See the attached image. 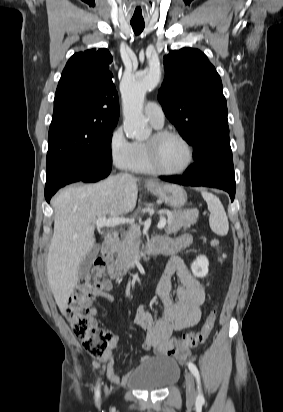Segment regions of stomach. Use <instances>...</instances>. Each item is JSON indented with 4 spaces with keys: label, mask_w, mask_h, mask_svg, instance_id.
Returning <instances> with one entry per match:
<instances>
[{
    "label": "stomach",
    "mask_w": 283,
    "mask_h": 412,
    "mask_svg": "<svg viewBox=\"0 0 283 412\" xmlns=\"http://www.w3.org/2000/svg\"><path fill=\"white\" fill-rule=\"evenodd\" d=\"M149 190L169 207L179 208L184 206L187 201L185 190L177 185H156Z\"/></svg>",
    "instance_id": "stomach-1"
}]
</instances>
